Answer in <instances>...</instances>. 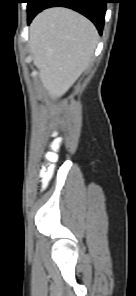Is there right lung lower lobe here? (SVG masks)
Listing matches in <instances>:
<instances>
[{
	"mask_svg": "<svg viewBox=\"0 0 136 296\" xmlns=\"http://www.w3.org/2000/svg\"><path fill=\"white\" fill-rule=\"evenodd\" d=\"M107 0H34L28 8V24L43 9L62 6L71 8L90 19L102 33Z\"/></svg>",
	"mask_w": 136,
	"mask_h": 296,
	"instance_id": "1",
	"label": "right lung lower lobe"
}]
</instances>
